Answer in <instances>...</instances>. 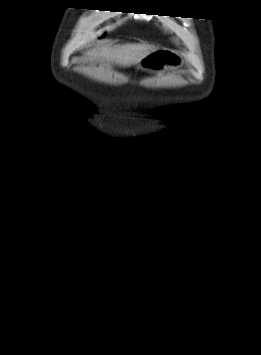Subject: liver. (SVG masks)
Returning <instances> with one entry per match:
<instances>
[{
	"label": "liver",
	"instance_id": "obj_1",
	"mask_svg": "<svg viewBox=\"0 0 261 355\" xmlns=\"http://www.w3.org/2000/svg\"><path fill=\"white\" fill-rule=\"evenodd\" d=\"M155 49L156 47L145 44L109 45L102 47L99 51H89L83 60L89 58L93 59L99 56L106 61L114 62L125 67L139 62Z\"/></svg>",
	"mask_w": 261,
	"mask_h": 355
}]
</instances>
